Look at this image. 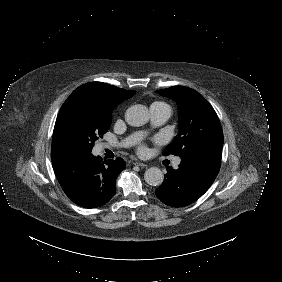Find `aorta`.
Here are the masks:
<instances>
[{
  "label": "aorta",
  "mask_w": 282,
  "mask_h": 282,
  "mask_svg": "<svg viewBox=\"0 0 282 282\" xmlns=\"http://www.w3.org/2000/svg\"><path fill=\"white\" fill-rule=\"evenodd\" d=\"M125 121L134 127L145 125L149 121L148 108L141 104L129 107L125 112ZM144 180L151 186H159L163 183L164 174L157 167H151L144 173Z\"/></svg>",
  "instance_id": "obj_1"
}]
</instances>
